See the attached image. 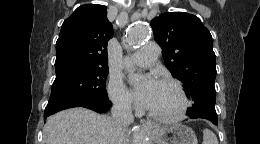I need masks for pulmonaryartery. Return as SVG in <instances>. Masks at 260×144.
<instances>
[{"instance_id": "pulmonary-artery-1", "label": "pulmonary artery", "mask_w": 260, "mask_h": 144, "mask_svg": "<svg viewBox=\"0 0 260 144\" xmlns=\"http://www.w3.org/2000/svg\"><path fill=\"white\" fill-rule=\"evenodd\" d=\"M160 49L157 44L150 43L144 45L139 51L133 54L132 59L136 65L148 67L158 58Z\"/></svg>"}]
</instances>
